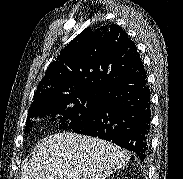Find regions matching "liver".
I'll return each mask as SVG.
<instances>
[{"label": "liver", "instance_id": "liver-1", "mask_svg": "<svg viewBox=\"0 0 183 179\" xmlns=\"http://www.w3.org/2000/svg\"><path fill=\"white\" fill-rule=\"evenodd\" d=\"M130 154L113 143L76 133H58L36 144L22 164L21 179H106Z\"/></svg>", "mask_w": 183, "mask_h": 179}]
</instances>
